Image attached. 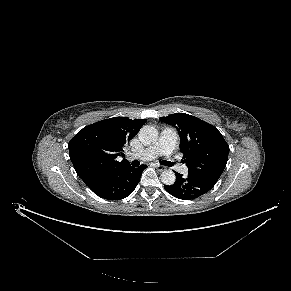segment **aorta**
I'll return each mask as SVG.
<instances>
[{
  "mask_svg": "<svg viewBox=\"0 0 291 291\" xmlns=\"http://www.w3.org/2000/svg\"><path fill=\"white\" fill-rule=\"evenodd\" d=\"M138 135L144 145L154 144L158 140L157 129L150 125L143 126ZM161 180L165 185H173L176 180L175 173L172 170H165L161 173Z\"/></svg>",
  "mask_w": 291,
  "mask_h": 291,
  "instance_id": "obj_1",
  "label": "aorta"
}]
</instances>
